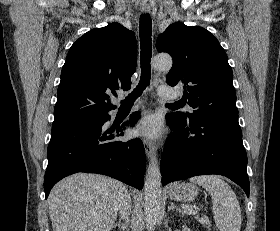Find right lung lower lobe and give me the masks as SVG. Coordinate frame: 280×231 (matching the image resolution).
Masks as SVG:
<instances>
[{
  "mask_svg": "<svg viewBox=\"0 0 280 231\" xmlns=\"http://www.w3.org/2000/svg\"><path fill=\"white\" fill-rule=\"evenodd\" d=\"M109 119L107 113L53 124L44 177L46 198L59 180L77 172L104 174L137 189L143 187L146 164L143 143L138 138L120 141L124 133L119 128L114 133L103 132L102 126ZM138 119V113L132 115L130 125Z\"/></svg>",
  "mask_w": 280,
  "mask_h": 231,
  "instance_id": "98d812e1",
  "label": "right lung lower lobe"
}]
</instances>
